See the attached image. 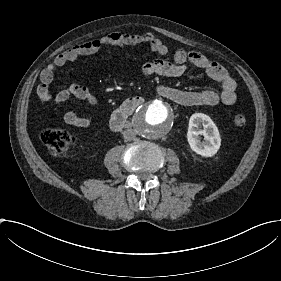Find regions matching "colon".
I'll return each instance as SVG.
<instances>
[{"instance_id": "1", "label": "colon", "mask_w": 281, "mask_h": 281, "mask_svg": "<svg viewBox=\"0 0 281 281\" xmlns=\"http://www.w3.org/2000/svg\"><path fill=\"white\" fill-rule=\"evenodd\" d=\"M231 122L236 127H243L247 123V117L242 112H236L232 115ZM41 139L53 156L66 154L76 144L74 136L64 128L47 129L41 134Z\"/></svg>"}]
</instances>
